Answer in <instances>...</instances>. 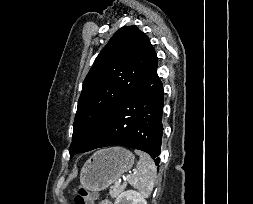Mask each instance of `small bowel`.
Wrapping results in <instances>:
<instances>
[{"mask_svg": "<svg viewBox=\"0 0 253 204\" xmlns=\"http://www.w3.org/2000/svg\"><path fill=\"white\" fill-rule=\"evenodd\" d=\"M98 204H112L109 200H102Z\"/></svg>", "mask_w": 253, "mask_h": 204, "instance_id": "c3829d8e", "label": "small bowel"}]
</instances>
